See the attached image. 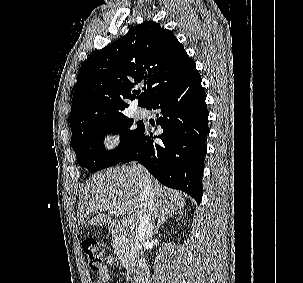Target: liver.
Wrapping results in <instances>:
<instances>
[{"label":"liver","mask_w":303,"mask_h":283,"mask_svg":"<svg viewBox=\"0 0 303 283\" xmlns=\"http://www.w3.org/2000/svg\"><path fill=\"white\" fill-rule=\"evenodd\" d=\"M144 173L149 175L153 189L147 207L153 222L162 216H173L184 208L182 193L161 185L144 168L137 170L130 166H117L94 174L82 188L78 201V223L86 219L90 225H109L110 213L118 211L126 215L131 227L136 228L142 212L140 179ZM105 211L108 214H104Z\"/></svg>","instance_id":"1"}]
</instances>
